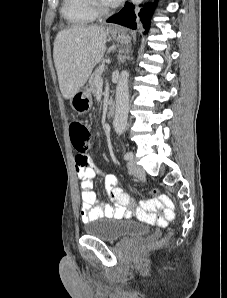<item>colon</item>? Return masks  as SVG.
<instances>
[{"mask_svg": "<svg viewBox=\"0 0 227 298\" xmlns=\"http://www.w3.org/2000/svg\"><path fill=\"white\" fill-rule=\"evenodd\" d=\"M70 139L75 150H89L92 143V135L88 126L80 121L74 120L69 127ZM152 200L147 202L148 205L160 207L163 209V215L166 220L173 218L172 202L164 195H160L156 190L152 191ZM163 241L149 244L144 249L157 247Z\"/></svg>", "mask_w": 227, "mask_h": 298, "instance_id": "5ec220e1", "label": "colon"}]
</instances>
